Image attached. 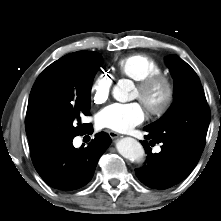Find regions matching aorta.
Returning a JSON list of instances; mask_svg holds the SVG:
<instances>
[{"label":"aorta","instance_id":"obj_1","mask_svg":"<svg viewBox=\"0 0 221 221\" xmlns=\"http://www.w3.org/2000/svg\"><path fill=\"white\" fill-rule=\"evenodd\" d=\"M133 89V83L130 80H121L113 89V97L119 102L129 100V92ZM118 152L125 158L141 162L144 159L145 151L142 145L131 137L120 139L116 143Z\"/></svg>","mask_w":221,"mask_h":221}]
</instances>
